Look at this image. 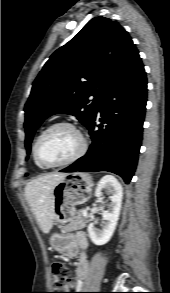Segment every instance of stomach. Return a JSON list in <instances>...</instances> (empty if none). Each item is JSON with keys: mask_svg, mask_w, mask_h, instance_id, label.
<instances>
[{"mask_svg": "<svg viewBox=\"0 0 170 293\" xmlns=\"http://www.w3.org/2000/svg\"><path fill=\"white\" fill-rule=\"evenodd\" d=\"M92 180L86 173L67 174L54 188V221L58 224L70 222L76 215V206L84 204L91 196ZM51 244L57 251L67 249L64 234H53Z\"/></svg>", "mask_w": 170, "mask_h": 293, "instance_id": "stomach-1", "label": "stomach"}]
</instances>
